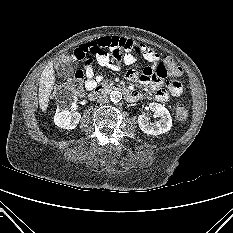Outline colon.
Wrapping results in <instances>:
<instances>
[{"label": "colon", "instance_id": "colon-1", "mask_svg": "<svg viewBox=\"0 0 233 233\" xmlns=\"http://www.w3.org/2000/svg\"><path fill=\"white\" fill-rule=\"evenodd\" d=\"M158 72L164 76H178L182 73V69L174 59L171 57H164L160 63ZM83 78L84 74L82 72H77L72 78L64 81L60 88L67 90L74 95L80 96L84 91ZM175 116L178 120H186L189 116L188 108L184 104H177L175 106Z\"/></svg>", "mask_w": 233, "mask_h": 233}]
</instances>
